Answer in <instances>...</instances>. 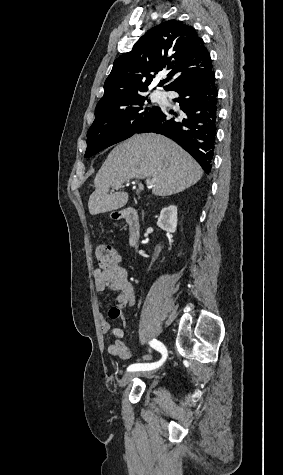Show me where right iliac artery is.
Segmentation results:
<instances>
[{
    "mask_svg": "<svg viewBox=\"0 0 283 475\" xmlns=\"http://www.w3.org/2000/svg\"><path fill=\"white\" fill-rule=\"evenodd\" d=\"M150 346L162 354V359L154 363L132 364L127 368V371H148V370L158 368L159 366L163 364V362L166 360V357H167L166 347L160 341H157L156 339H153L150 342Z\"/></svg>",
    "mask_w": 283,
    "mask_h": 475,
    "instance_id": "obj_1",
    "label": "right iliac artery"
}]
</instances>
